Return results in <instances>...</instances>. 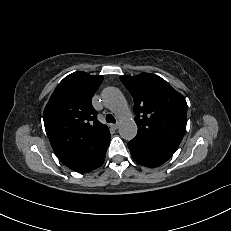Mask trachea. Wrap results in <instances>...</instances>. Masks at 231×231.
I'll use <instances>...</instances> for the list:
<instances>
[{
    "label": "trachea",
    "instance_id": "obj_1",
    "mask_svg": "<svg viewBox=\"0 0 231 231\" xmlns=\"http://www.w3.org/2000/svg\"><path fill=\"white\" fill-rule=\"evenodd\" d=\"M106 122L107 123H116V120L111 114H107L106 115Z\"/></svg>",
    "mask_w": 231,
    "mask_h": 231
}]
</instances>
